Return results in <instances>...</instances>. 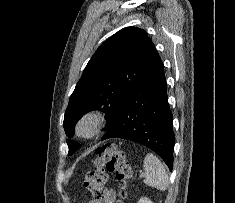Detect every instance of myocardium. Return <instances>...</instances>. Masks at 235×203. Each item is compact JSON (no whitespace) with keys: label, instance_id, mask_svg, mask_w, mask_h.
Wrapping results in <instances>:
<instances>
[{"label":"myocardium","instance_id":"myocardium-1","mask_svg":"<svg viewBox=\"0 0 235 203\" xmlns=\"http://www.w3.org/2000/svg\"><path fill=\"white\" fill-rule=\"evenodd\" d=\"M105 114L100 110L83 113L76 123V134L83 139H92L102 130Z\"/></svg>","mask_w":235,"mask_h":203}]
</instances>
